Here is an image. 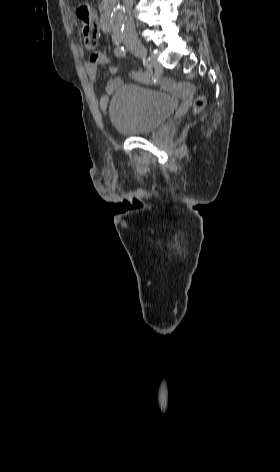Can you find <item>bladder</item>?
I'll return each instance as SVG.
<instances>
[{
    "label": "bladder",
    "instance_id": "1",
    "mask_svg": "<svg viewBox=\"0 0 280 472\" xmlns=\"http://www.w3.org/2000/svg\"><path fill=\"white\" fill-rule=\"evenodd\" d=\"M176 107V100L167 93L125 83L111 99L109 116L118 132L136 136L156 130L171 116Z\"/></svg>",
    "mask_w": 280,
    "mask_h": 472
}]
</instances>
